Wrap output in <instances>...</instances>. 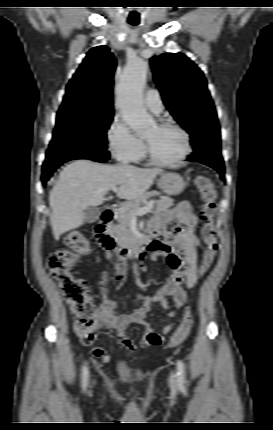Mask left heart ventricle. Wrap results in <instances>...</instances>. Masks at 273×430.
<instances>
[{
	"label": "left heart ventricle",
	"instance_id": "obj_1",
	"mask_svg": "<svg viewBox=\"0 0 273 430\" xmlns=\"http://www.w3.org/2000/svg\"><path fill=\"white\" fill-rule=\"evenodd\" d=\"M144 139L150 144L154 156L163 161L174 160L183 151V138L173 129H160L154 125L146 132Z\"/></svg>",
	"mask_w": 273,
	"mask_h": 430
}]
</instances>
